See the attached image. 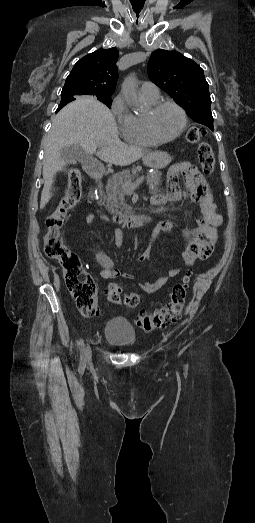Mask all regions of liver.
<instances>
[{
    "instance_id": "6515ba94",
    "label": "liver",
    "mask_w": 255,
    "mask_h": 523,
    "mask_svg": "<svg viewBox=\"0 0 255 523\" xmlns=\"http://www.w3.org/2000/svg\"><path fill=\"white\" fill-rule=\"evenodd\" d=\"M71 144H78L87 154H96L103 162L115 166H129L144 156L141 148L127 146L119 140L117 124L109 108L98 102L96 98L81 96L65 106L52 120V128L45 148V164L42 172L45 184L41 194L40 210H43L52 198L50 190L57 172L63 170L66 164H75L74 160L60 158V150ZM97 146L102 150L96 152ZM149 154H159L162 160H166L167 156L165 152H149Z\"/></svg>"
}]
</instances>
